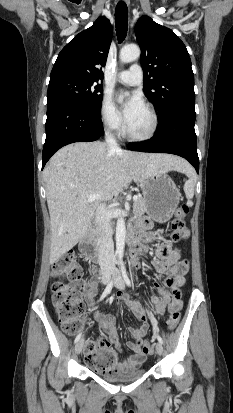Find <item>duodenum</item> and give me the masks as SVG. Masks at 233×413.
Returning <instances> with one entry per match:
<instances>
[{
	"label": "duodenum",
	"mask_w": 233,
	"mask_h": 413,
	"mask_svg": "<svg viewBox=\"0 0 233 413\" xmlns=\"http://www.w3.org/2000/svg\"><path fill=\"white\" fill-rule=\"evenodd\" d=\"M128 242L131 247L130 265L131 267L136 268L139 265V235L137 233L130 234ZM79 248L81 252L91 260H99V249L96 244L94 230L92 228L87 229L83 233L79 241Z\"/></svg>",
	"instance_id": "obj_1"
}]
</instances>
